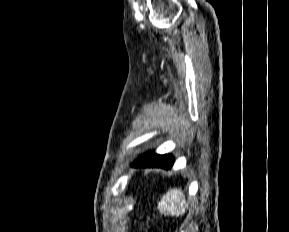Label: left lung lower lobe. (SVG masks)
I'll return each mask as SVG.
<instances>
[{
  "label": "left lung lower lobe",
  "instance_id": "left-lung-lower-lobe-1",
  "mask_svg": "<svg viewBox=\"0 0 289 232\" xmlns=\"http://www.w3.org/2000/svg\"><path fill=\"white\" fill-rule=\"evenodd\" d=\"M174 158L170 155H157L154 152H149L138 158L133 164V167H160L170 169L173 166Z\"/></svg>",
  "mask_w": 289,
  "mask_h": 232
}]
</instances>
